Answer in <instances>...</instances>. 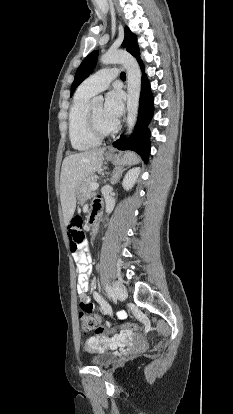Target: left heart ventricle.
I'll use <instances>...</instances> for the list:
<instances>
[{"mask_svg":"<svg viewBox=\"0 0 233 414\" xmlns=\"http://www.w3.org/2000/svg\"><path fill=\"white\" fill-rule=\"evenodd\" d=\"M92 114L94 116V120L98 128L102 131H108L113 128L115 124L110 122L104 115L103 106L96 105L91 107Z\"/></svg>","mask_w":233,"mask_h":414,"instance_id":"obj_1","label":"left heart ventricle"}]
</instances>
